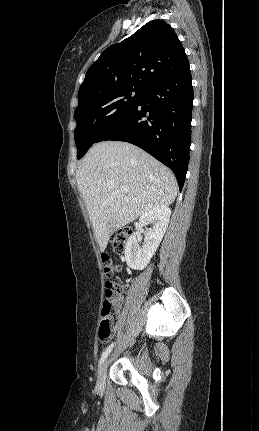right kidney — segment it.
I'll use <instances>...</instances> for the list:
<instances>
[{
    "mask_svg": "<svg viewBox=\"0 0 259 431\" xmlns=\"http://www.w3.org/2000/svg\"><path fill=\"white\" fill-rule=\"evenodd\" d=\"M170 215V208L164 205L153 207L141 215L139 226L153 223V227L147 230L142 247L139 246V238L129 237L125 247V260L131 269L146 268L166 232Z\"/></svg>",
    "mask_w": 259,
    "mask_h": 431,
    "instance_id": "ca27d5eb",
    "label": "right kidney"
}]
</instances>
